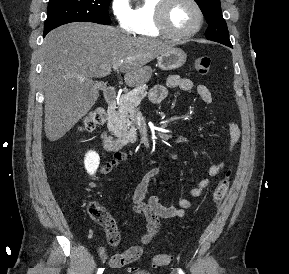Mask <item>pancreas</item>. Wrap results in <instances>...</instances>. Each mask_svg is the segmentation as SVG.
I'll return each instance as SVG.
<instances>
[{
	"instance_id": "obj_1",
	"label": "pancreas",
	"mask_w": 289,
	"mask_h": 274,
	"mask_svg": "<svg viewBox=\"0 0 289 274\" xmlns=\"http://www.w3.org/2000/svg\"><path fill=\"white\" fill-rule=\"evenodd\" d=\"M147 94V86H140L120 97L117 111L108 120V128L121 142L134 143L137 140L136 111Z\"/></svg>"
}]
</instances>
